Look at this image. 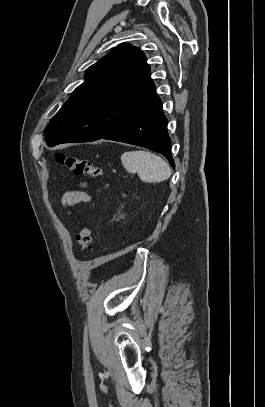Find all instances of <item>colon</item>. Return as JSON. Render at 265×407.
Returning <instances> with one entry per match:
<instances>
[{"label":"colon","instance_id":"obj_1","mask_svg":"<svg viewBox=\"0 0 265 407\" xmlns=\"http://www.w3.org/2000/svg\"><path fill=\"white\" fill-rule=\"evenodd\" d=\"M55 160L58 164L64 166L78 176L89 175L91 177H98L102 173L101 167L87 158L57 152L55 154ZM77 243L81 251L90 248L92 243V222L90 219H87L84 222L81 231L77 235Z\"/></svg>","mask_w":265,"mask_h":407}]
</instances>
